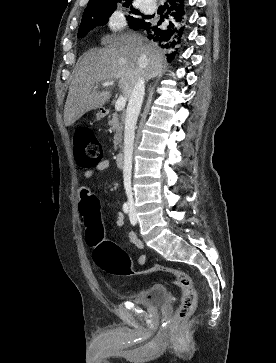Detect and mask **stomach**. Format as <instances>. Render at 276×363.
Returning <instances> with one entry per match:
<instances>
[{
    "mask_svg": "<svg viewBox=\"0 0 276 363\" xmlns=\"http://www.w3.org/2000/svg\"><path fill=\"white\" fill-rule=\"evenodd\" d=\"M104 117V112L102 110H99L97 113H96V118L97 120H100L101 118Z\"/></svg>",
    "mask_w": 276,
    "mask_h": 363,
    "instance_id": "stomach-1",
    "label": "stomach"
}]
</instances>
